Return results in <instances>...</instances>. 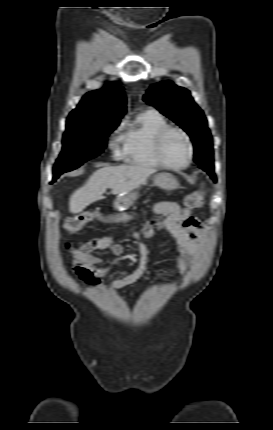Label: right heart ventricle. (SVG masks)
I'll use <instances>...</instances> for the list:
<instances>
[{"label": "right heart ventricle", "instance_id": "right-heart-ventricle-1", "mask_svg": "<svg viewBox=\"0 0 273 430\" xmlns=\"http://www.w3.org/2000/svg\"><path fill=\"white\" fill-rule=\"evenodd\" d=\"M168 125L164 116L156 110L139 113L126 125L123 135L124 160L144 168L161 167L154 154V140L156 134Z\"/></svg>", "mask_w": 273, "mask_h": 430}]
</instances>
